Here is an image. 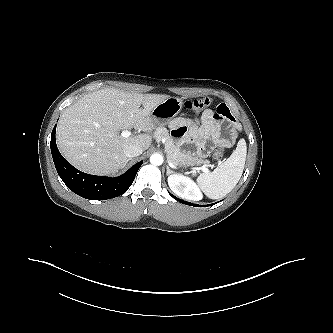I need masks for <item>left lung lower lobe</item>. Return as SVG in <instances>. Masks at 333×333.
<instances>
[{"mask_svg": "<svg viewBox=\"0 0 333 333\" xmlns=\"http://www.w3.org/2000/svg\"><path fill=\"white\" fill-rule=\"evenodd\" d=\"M174 199H176V200H178V201H180V202H182V203H184V204H186V205H191V206H201V205H197V204H192V203H190V202H186V201H183V200H181V199H178V198H176L175 196H173L172 194H170ZM215 204V203H214ZM212 205V204H211ZM205 206H210V205H205Z\"/></svg>", "mask_w": 333, "mask_h": 333, "instance_id": "0a47b994", "label": "left lung lower lobe"}]
</instances>
